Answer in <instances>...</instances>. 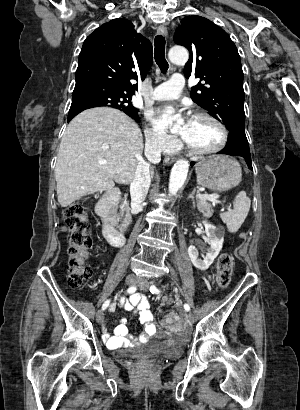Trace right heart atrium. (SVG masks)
Instances as JSON below:
<instances>
[{
    "label": "right heart atrium",
    "mask_w": 300,
    "mask_h": 410,
    "mask_svg": "<svg viewBox=\"0 0 300 410\" xmlns=\"http://www.w3.org/2000/svg\"><path fill=\"white\" fill-rule=\"evenodd\" d=\"M144 134L149 153H170L178 147V142L173 137L153 125H147Z\"/></svg>",
    "instance_id": "1"
}]
</instances>
